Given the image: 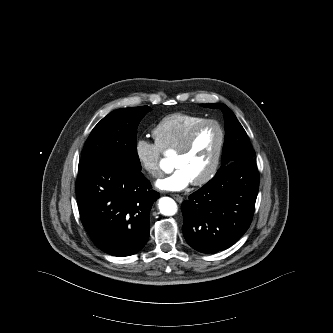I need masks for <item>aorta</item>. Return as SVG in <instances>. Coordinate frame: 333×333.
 Returning <instances> with one entry per match:
<instances>
[{
  "instance_id": "aorta-1",
  "label": "aorta",
  "mask_w": 333,
  "mask_h": 333,
  "mask_svg": "<svg viewBox=\"0 0 333 333\" xmlns=\"http://www.w3.org/2000/svg\"><path fill=\"white\" fill-rule=\"evenodd\" d=\"M165 161L163 160L161 164H164ZM159 210L160 213L165 216H173L177 212V204L176 202L170 197H162L159 199Z\"/></svg>"
}]
</instances>
